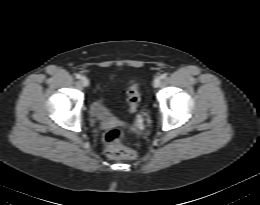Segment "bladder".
I'll use <instances>...</instances> for the list:
<instances>
[{
	"label": "bladder",
	"mask_w": 260,
	"mask_h": 205,
	"mask_svg": "<svg viewBox=\"0 0 260 205\" xmlns=\"http://www.w3.org/2000/svg\"><path fill=\"white\" fill-rule=\"evenodd\" d=\"M89 113L95 119H106L113 115L112 109L105 103L101 95L91 102Z\"/></svg>",
	"instance_id": "1"
}]
</instances>
